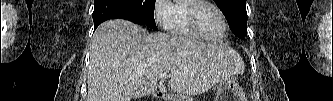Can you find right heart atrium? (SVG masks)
Returning a JSON list of instances; mask_svg holds the SVG:
<instances>
[{
  "mask_svg": "<svg viewBox=\"0 0 333 101\" xmlns=\"http://www.w3.org/2000/svg\"><path fill=\"white\" fill-rule=\"evenodd\" d=\"M153 14L156 23L163 28H167L171 15V3L168 0H156L153 7Z\"/></svg>",
  "mask_w": 333,
  "mask_h": 101,
  "instance_id": "1",
  "label": "right heart atrium"
}]
</instances>
